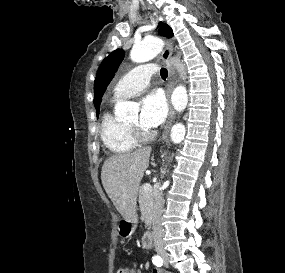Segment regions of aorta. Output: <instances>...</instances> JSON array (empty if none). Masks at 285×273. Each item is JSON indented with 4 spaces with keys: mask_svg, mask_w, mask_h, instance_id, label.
I'll list each match as a JSON object with an SVG mask.
<instances>
[{
    "mask_svg": "<svg viewBox=\"0 0 285 273\" xmlns=\"http://www.w3.org/2000/svg\"><path fill=\"white\" fill-rule=\"evenodd\" d=\"M163 42L159 38L151 37L136 43L131 52L130 58L133 62L143 63L156 57L161 49ZM172 105L175 110L183 111L188 103L187 90L184 86H177L171 95ZM115 115L119 118H125L138 112V105L133 102H118L114 108ZM186 130L181 123L175 124L171 129V139L173 143H181L184 139Z\"/></svg>",
    "mask_w": 285,
    "mask_h": 273,
    "instance_id": "obj_1",
    "label": "aorta"
}]
</instances>
